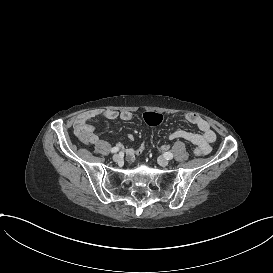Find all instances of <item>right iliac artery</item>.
<instances>
[{
  "label": "right iliac artery",
  "mask_w": 273,
  "mask_h": 273,
  "mask_svg": "<svg viewBox=\"0 0 273 273\" xmlns=\"http://www.w3.org/2000/svg\"><path fill=\"white\" fill-rule=\"evenodd\" d=\"M119 151V148L118 147H113L112 149H111V152L112 153H116V152H118Z\"/></svg>",
  "instance_id": "1"
}]
</instances>
